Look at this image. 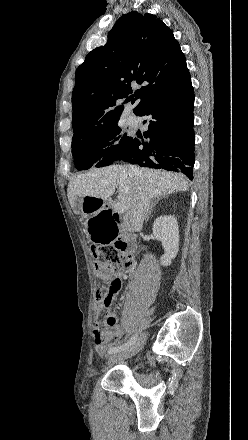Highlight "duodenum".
Here are the masks:
<instances>
[{
    "label": "duodenum",
    "instance_id": "1",
    "mask_svg": "<svg viewBox=\"0 0 248 440\" xmlns=\"http://www.w3.org/2000/svg\"><path fill=\"white\" fill-rule=\"evenodd\" d=\"M113 218L115 219V223L118 224L121 221V217L119 214H114ZM116 245L119 247L120 250L125 252L128 255H132L136 251V240L133 236L130 235H124V236H118L116 237Z\"/></svg>",
    "mask_w": 248,
    "mask_h": 440
}]
</instances>
